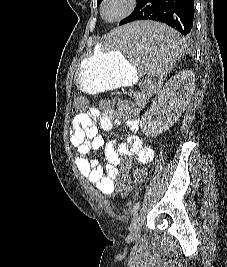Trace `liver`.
I'll use <instances>...</instances> for the list:
<instances>
[{"mask_svg":"<svg viewBox=\"0 0 227 267\" xmlns=\"http://www.w3.org/2000/svg\"><path fill=\"white\" fill-rule=\"evenodd\" d=\"M112 33H116V29H115ZM100 48H101V47H96V48H95V51H99Z\"/></svg>","mask_w":227,"mask_h":267,"instance_id":"6515ba94","label":"liver"}]
</instances>
